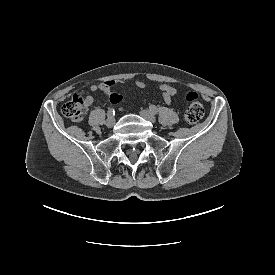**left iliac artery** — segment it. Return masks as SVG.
<instances>
[{
  "label": "left iliac artery",
  "instance_id": "left-iliac-artery-1",
  "mask_svg": "<svg viewBox=\"0 0 275 275\" xmlns=\"http://www.w3.org/2000/svg\"><path fill=\"white\" fill-rule=\"evenodd\" d=\"M149 109H150V111H151L152 113H154V114L157 113V107H156L155 105H151V106L149 107Z\"/></svg>",
  "mask_w": 275,
  "mask_h": 275
}]
</instances>
